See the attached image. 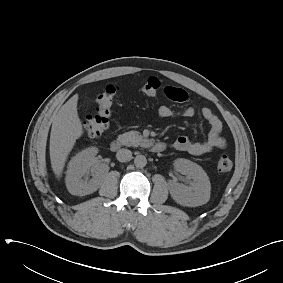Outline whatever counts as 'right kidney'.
I'll list each match as a JSON object with an SVG mask.
<instances>
[{
  "mask_svg": "<svg viewBox=\"0 0 283 283\" xmlns=\"http://www.w3.org/2000/svg\"><path fill=\"white\" fill-rule=\"evenodd\" d=\"M98 153L96 147H89L76 154L68 164L66 186L72 195L85 196L95 192L101 185L108 166L93 164ZM90 176L92 178L90 179Z\"/></svg>",
  "mask_w": 283,
  "mask_h": 283,
  "instance_id": "1",
  "label": "right kidney"
}]
</instances>
